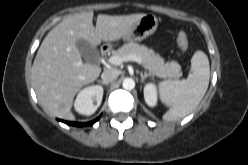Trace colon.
<instances>
[{"label": "colon", "mask_w": 248, "mask_h": 165, "mask_svg": "<svg viewBox=\"0 0 248 165\" xmlns=\"http://www.w3.org/2000/svg\"><path fill=\"white\" fill-rule=\"evenodd\" d=\"M177 45L182 51H186L189 46L188 36L185 32H179L177 35Z\"/></svg>", "instance_id": "5ec220e1"}]
</instances>
